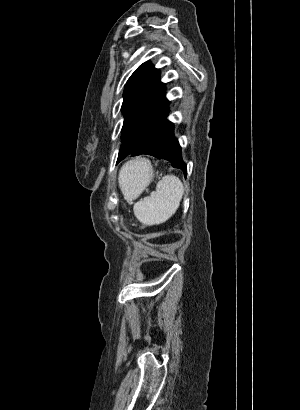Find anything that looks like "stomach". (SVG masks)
Here are the masks:
<instances>
[{
  "label": "stomach",
  "instance_id": "obj_1",
  "mask_svg": "<svg viewBox=\"0 0 300 410\" xmlns=\"http://www.w3.org/2000/svg\"><path fill=\"white\" fill-rule=\"evenodd\" d=\"M139 162L142 164L144 169L142 172L138 170L133 176V182L130 188L132 198L138 196L154 178V171L150 162L145 159H141Z\"/></svg>",
  "mask_w": 300,
  "mask_h": 410
}]
</instances>
